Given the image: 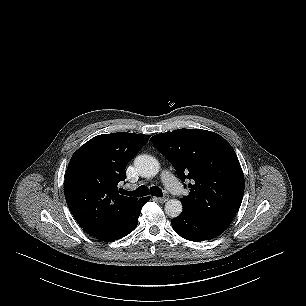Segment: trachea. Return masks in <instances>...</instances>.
Segmentation results:
<instances>
[{"label":"trachea","instance_id":"1","mask_svg":"<svg viewBox=\"0 0 306 306\" xmlns=\"http://www.w3.org/2000/svg\"><path fill=\"white\" fill-rule=\"evenodd\" d=\"M126 194L129 196H134V197H142V196H146L149 194L153 196L161 197L162 190L158 186H153L149 189L147 186L141 185L135 191H128Z\"/></svg>","mask_w":306,"mask_h":306}]
</instances>
